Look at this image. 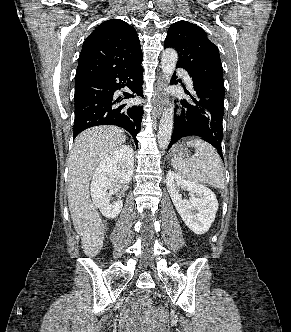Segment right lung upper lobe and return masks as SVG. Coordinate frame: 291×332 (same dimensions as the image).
Here are the masks:
<instances>
[{
	"label": "right lung upper lobe",
	"instance_id": "cb5924a9",
	"mask_svg": "<svg viewBox=\"0 0 291 332\" xmlns=\"http://www.w3.org/2000/svg\"><path fill=\"white\" fill-rule=\"evenodd\" d=\"M142 56L135 29L120 19L107 20L84 41L75 78L128 69Z\"/></svg>",
	"mask_w": 291,
	"mask_h": 332
}]
</instances>
